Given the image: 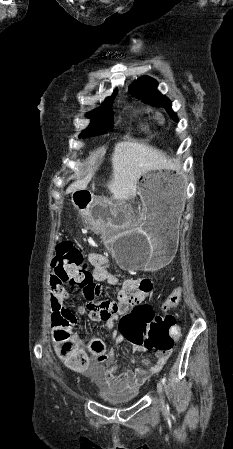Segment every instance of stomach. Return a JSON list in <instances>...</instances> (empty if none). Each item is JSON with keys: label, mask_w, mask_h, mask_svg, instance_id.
Returning a JSON list of instances; mask_svg holds the SVG:
<instances>
[{"label": "stomach", "mask_w": 233, "mask_h": 449, "mask_svg": "<svg viewBox=\"0 0 233 449\" xmlns=\"http://www.w3.org/2000/svg\"><path fill=\"white\" fill-rule=\"evenodd\" d=\"M144 205L143 223L132 201L96 199L93 207L77 206L93 228H103L105 246L124 270L155 271L169 264L179 241L183 180L169 171L147 172L138 180Z\"/></svg>", "instance_id": "obj_1"}]
</instances>
